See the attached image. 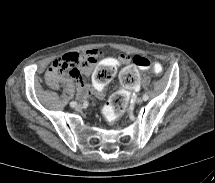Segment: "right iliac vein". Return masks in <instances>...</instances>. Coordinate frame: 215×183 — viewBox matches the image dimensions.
Listing matches in <instances>:
<instances>
[{
  "label": "right iliac vein",
  "instance_id": "obj_1",
  "mask_svg": "<svg viewBox=\"0 0 215 183\" xmlns=\"http://www.w3.org/2000/svg\"><path fill=\"white\" fill-rule=\"evenodd\" d=\"M75 109H76V110H80V109H81V105H76V106H75Z\"/></svg>",
  "mask_w": 215,
  "mask_h": 183
}]
</instances>
